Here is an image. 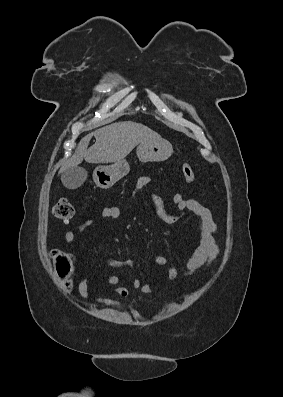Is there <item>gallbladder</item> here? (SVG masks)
Returning <instances> with one entry per match:
<instances>
[{
	"label": "gallbladder",
	"mask_w": 283,
	"mask_h": 397,
	"mask_svg": "<svg viewBox=\"0 0 283 397\" xmlns=\"http://www.w3.org/2000/svg\"><path fill=\"white\" fill-rule=\"evenodd\" d=\"M87 178V171L81 167H72L65 170L61 176L63 185L68 189L80 187Z\"/></svg>",
	"instance_id": "bac80fb5"
}]
</instances>
